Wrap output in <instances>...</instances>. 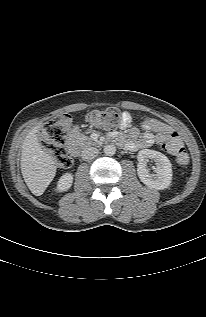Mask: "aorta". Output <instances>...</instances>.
Wrapping results in <instances>:
<instances>
[{
	"label": "aorta",
	"mask_w": 206,
	"mask_h": 317,
	"mask_svg": "<svg viewBox=\"0 0 206 317\" xmlns=\"http://www.w3.org/2000/svg\"><path fill=\"white\" fill-rule=\"evenodd\" d=\"M103 150L107 156H113L116 153V147L112 144L106 145Z\"/></svg>",
	"instance_id": "obj_1"
}]
</instances>
